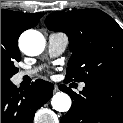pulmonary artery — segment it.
Masks as SVG:
<instances>
[{"label": "pulmonary artery", "mask_w": 123, "mask_h": 123, "mask_svg": "<svg viewBox=\"0 0 123 123\" xmlns=\"http://www.w3.org/2000/svg\"><path fill=\"white\" fill-rule=\"evenodd\" d=\"M68 37L62 32H52L48 36V53L51 57L61 55L68 46ZM38 71V68L29 71H22L19 73V78L23 76H32ZM85 86L84 83L80 85V88Z\"/></svg>", "instance_id": "e3ab8cb5"}]
</instances>
